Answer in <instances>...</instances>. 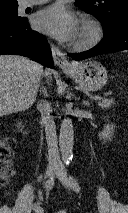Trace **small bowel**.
Here are the masks:
<instances>
[{"mask_svg":"<svg viewBox=\"0 0 128 213\" xmlns=\"http://www.w3.org/2000/svg\"><path fill=\"white\" fill-rule=\"evenodd\" d=\"M35 211H40V207L36 206L35 208ZM38 213V212H37ZM40 213V212H39Z\"/></svg>","mask_w":128,"mask_h":213,"instance_id":"small-bowel-1","label":"small bowel"}]
</instances>
